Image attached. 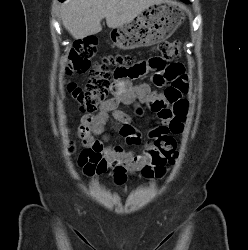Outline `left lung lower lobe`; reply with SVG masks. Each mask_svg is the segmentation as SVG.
<instances>
[{
	"instance_id": "obj_1",
	"label": "left lung lower lobe",
	"mask_w": 248,
	"mask_h": 250,
	"mask_svg": "<svg viewBox=\"0 0 248 250\" xmlns=\"http://www.w3.org/2000/svg\"><path fill=\"white\" fill-rule=\"evenodd\" d=\"M183 2H185V3H188V1L187 0H182Z\"/></svg>"
}]
</instances>
